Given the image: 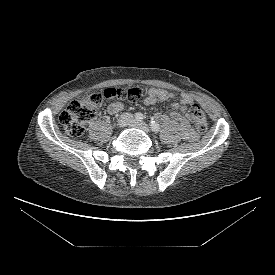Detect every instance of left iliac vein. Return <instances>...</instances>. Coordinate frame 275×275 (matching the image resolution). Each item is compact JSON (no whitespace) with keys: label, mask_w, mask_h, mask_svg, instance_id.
I'll use <instances>...</instances> for the list:
<instances>
[{"label":"left iliac vein","mask_w":275,"mask_h":275,"mask_svg":"<svg viewBox=\"0 0 275 275\" xmlns=\"http://www.w3.org/2000/svg\"><path fill=\"white\" fill-rule=\"evenodd\" d=\"M130 126H131V127H134V128L141 129V130H143V131L146 132V133H149V132H150L149 126H148L146 123H144V122L132 121V122L130 123Z\"/></svg>","instance_id":"obj_1"}]
</instances>
